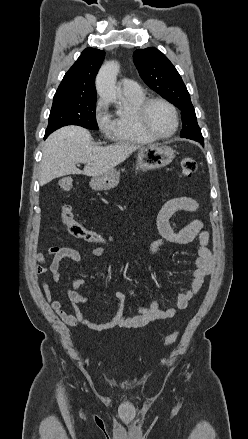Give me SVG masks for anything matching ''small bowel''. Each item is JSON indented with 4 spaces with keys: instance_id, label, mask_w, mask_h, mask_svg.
Returning a JSON list of instances; mask_svg holds the SVG:
<instances>
[{
    "instance_id": "c3829d8e",
    "label": "small bowel",
    "mask_w": 248,
    "mask_h": 439,
    "mask_svg": "<svg viewBox=\"0 0 248 439\" xmlns=\"http://www.w3.org/2000/svg\"><path fill=\"white\" fill-rule=\"evenodd\" d=\"M198 209V202L189 196H178L165 202L156 219V226L161 238L153 241L148 248V255L152 256L161 250L166 243L189 244L196 239L199 240L195 252L194 270L190 278V288L177 296L174 307L162 309L158 301L155 300L148 307H138L135 314L128 315L125 313V296L123 293L117 292L114 295L115 311L112 318L105 322L91 321L78 307L79 304L88 301V298L79 291L85 283L83 279H76L73 287L67 292L73 313H67L62 308L60 299H53L50 284L46 279L42 282L45 300L68 326L81 324L96 331L115 327L124 329L142 328L158 321L173 318L179 311L187 308L189 302L197 295L205 278L213 269V256L209 249V234L204 230L203 222L200 219H195L179 230L174 229L170 223L171 217L176 212H196ZM82 247L96 257L101 258L106 255L105 250L99 246ZM65 259H69L76 264L82 262L80 252L69 246L51 247L47 253L38 252L35 254V260L39 263L35 267V273L41 276L50 275L53 281L58 282L61 278V263ZM131 295L134 297L136 291L132 290Z\"/></svg>"
}]
</instances>
